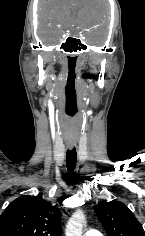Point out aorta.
Returning <instances> with one entry per match:
<instances>
[{
	"label": "aorta",
	"mask_w": 145,
	"mask_h": 236,
	"mask_svg": "<svg viewBox=\"0 0 145 236\" xmlns=\"http://www.w3.org/2000/svg\"><path fill=\"white\" fill-rule=\"evenodd\" d=\"M84 222L85 215L83 211L80 209L76 210L68 222L66 236H82Z\"/></svg>",
	"instance_id": "aorta-1"
}]
</instances>
